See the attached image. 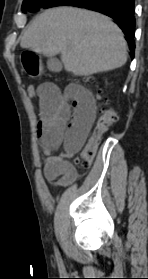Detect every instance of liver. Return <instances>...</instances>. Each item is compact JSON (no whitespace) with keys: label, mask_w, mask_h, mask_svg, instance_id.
Instances as JSON below:
<instances>
[{"label":"liver","mask_w":148,"mask_h":279,"mask_svg":"<svg viewBox=\"0 0 148 279\" xmlns=\"http://www.w3.org/2000/svg\"><path fill=\"white\" fill-rule=\"evenodd\" d=\"M21 47L46 56L61 54L66 71L89 76L122 67L127 44L110 18L85 9L56 7L37 16Z\"/></svg>","instance_id":"liver-1"}]
</instances>
